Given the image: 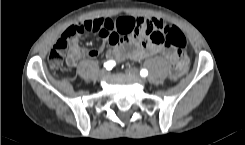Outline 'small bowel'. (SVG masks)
<instances>
[{
    "instance_id": "c3829d8e",
    "label": "small bowel",
    "mask_w": 245,
    "mask_h": 145,
    "mask_svg": "<svg viewBox=\"0 0 245 145\" xmlns=\"http://www.w3.org/2000/svg\"><path fill=\"white\" fill-rule=\"evenodd\" d=\"M85 23H89L90 26L84 32H95L106 38L108 44L106 55L114 62L124 60L141 61L162 54L179 68V73L174 79L183 74L189 64V56L186 50L173 51L165 45H154L150 41H140L133 37V35L142 36L147 27L162 31L167 25L163 20L144 17H123L120 19L98 17L79 24ZM84 32L77 33L67 40L66 64L69 67L76 66L78 61L86 56L95 57L99 55L104 49L103 45L95 49H81L78 44ZM117 32L126 34V37L120 39Z\"/></svg>"
}]
</instances>
